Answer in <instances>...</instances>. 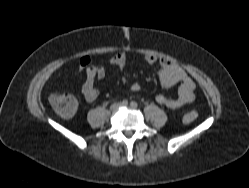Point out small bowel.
Returning a JSON list of instances; mask_svg holds the SVG:
<instances>
[{"instance_id":"obj_1","label":"small bowel","mask_w":249,"mask_h":188,"mask_svg":"<svg viewBox=\"0 0 249 188\" xmlns=\"http://www.w3.org/2000/svg\"><path fill=\"white\" fill-rule=\"evenodd\" d=\"M142 58L148 64L159 65L157 76L163 87L169 88L181 83L178 95L175 97L158 94L155 98L158 104L168 109H178L194 101L195 83L182 67L167 59L158 58L153 54H143ZM109 63L122 70L126 69L129 65V55L125 52L115 54L109 59ZM79 64L85 70L86 75V80L82 86V94L87 102H94L99 96V90L95 86V81L103 79L106 75V70L101 65L91 64L88 58H82ZM139 88L137 83L131 86L133 91H138Z\"/></svg>"}]
</instances>
